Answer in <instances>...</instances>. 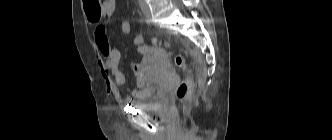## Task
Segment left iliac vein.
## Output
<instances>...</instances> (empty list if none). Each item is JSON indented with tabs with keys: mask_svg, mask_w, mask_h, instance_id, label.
<instances>
[{
	"mask_svg": "<svg viewBox=\"0 0 332 140\" xmlns=\"http://www.w3.org/2000/svg\"><path fill=\"white\" fill-rule=\"evenodd\" d=\"M139 5H140L141 11L144 14V16L150 17V9H149V6L146 3V1L145 0H139Z\"/></svg>",
	"mask_w": 332,
	"mask_h": 140,
	"instance_id": "obj_1",
	"label": "left iliac vein"
}]
</instances>
